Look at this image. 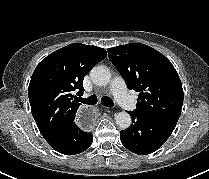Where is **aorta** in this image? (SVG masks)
<instances>
[{
    "label": "aorta",
    "instance_id": "aorta-1",
    "mask_svg": "<svg viewBox=\"0 0 209 179\" xmlns=\"http://www.w3.org/2000/svg\"><path fill=\"white\" fill-rule=\"evenodd\" d=\"M90 77L95 85L105 86L110 82L111 74L107 67L100 65L91 70ZM115 121L120 128L126 129L131 125V116L127 112H119L115 116Z\"/></svg>",
    "mask_w": 209,
    "mask_h": 179
}]
</instances>
